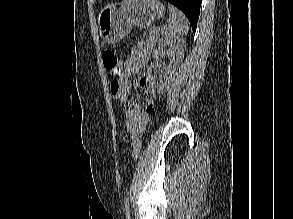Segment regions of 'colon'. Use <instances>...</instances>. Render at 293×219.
Masks as SVG:
<instances>
[{"instance_id": "obj_1", "label": "colon", "mask_w": 293, "mask_h": 219, "mask_svg": "<svg viewBox=\"0 0 293 219\" xmlns=\"http://www.w3.org/2000/svg\"><path fill=\"white\" fill-rule=\"evenodd\" d=\"M103 59V64L106 69V71L112 75L116 76L120 72V62L119 58L116 55L115 52L111 50H105L102 55ZM112 87L113 89H117V83L115 81L112 82ZM149 111L152 113L153 109L149 108ZM141 146H142V141L140 137H137L132 145V158L137 159L140 156L141 153Z\"/></svg>"}]
</instances>
